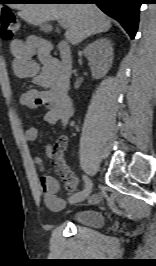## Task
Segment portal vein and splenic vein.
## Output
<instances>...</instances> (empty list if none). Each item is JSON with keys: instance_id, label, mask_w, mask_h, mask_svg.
Segmentation results:
<instances>
[{"instance_id": "1", "label": "portal vein and splenic vein", "mask_w": 156, "mask_h": 266, "mask_svg": "<svg viewBox=\"0 0 156 266\" xmlns=\"http://www.w3.org/2000/svg\"><path fill=\"white\" fill-rule=\"evenodd\" d=\"M59 23L63 28L67 27V24L63 20H59Z\"/></svg>"}]
</instances>
